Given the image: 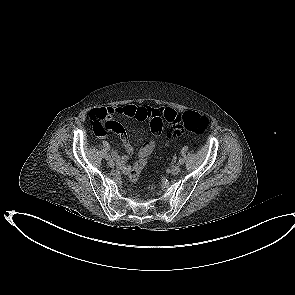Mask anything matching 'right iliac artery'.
<instances>
[{"label": "right iliac artery", "mask_w": 295, "mask_h": 295, "mask_svg": "<svg viewBox=\"0 0 295 295\" xmlns=\"http://www.w3.org/2000/svg\"><path fill=\"white\" fill-rule=\"evenodd\" d=\"M107 160H111V156L109 155V156H107Z\"/></svg>", "instance_id": "obj_1"}]
</instances>
